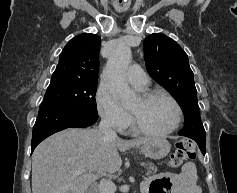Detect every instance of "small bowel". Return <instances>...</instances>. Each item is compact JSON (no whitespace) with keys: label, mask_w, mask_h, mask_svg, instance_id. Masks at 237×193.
<instances>
[{"label":"small bowel","mask_w":237,"mask_h":193,"mask_svg":"<svg viewBox=\"0 0 237 193\" xmlns=\"http://www.w3.org/2000/svg\"><path fill=\"white\" fill-rule=\"evenodd\" d=\"M142 193H202L196 165L185 163L179 173H159L144 181Z\"/></svg>","instance_id":"small-bowel-1"}]
</instances>
